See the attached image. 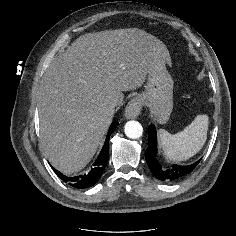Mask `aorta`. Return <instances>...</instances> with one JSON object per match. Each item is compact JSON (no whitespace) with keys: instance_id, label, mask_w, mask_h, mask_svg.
<instances>
[{"instance_id":"obj_1","label":"aorta","mask_w":236,"mask_h":236,"mask_svg":"<svg viewBox=\"0 0 236 236\" xmlns=\"http://www.w3.org/2000/svg\"><path fill=\"white\" fill-rule=\"evenodd\" d=\"M124 131L128 138L137 139L142 136L143 128L138 121H128L124 126Z\"/></svg>"}]
</instances>
